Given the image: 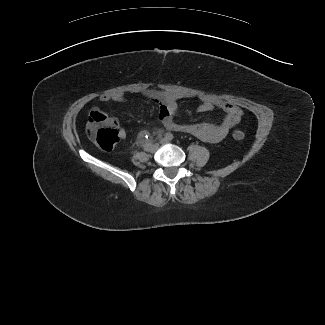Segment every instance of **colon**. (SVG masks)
I'll use <instances>...</instances> for the list:
<instances>
[{
    "label": "colon",
    "mask_w": 325,
    "mask_h": 325,
    "mask_svg": "<svg viewBox=\"0 0 325 325\" xmlns=\"http://www.w3.org/2000/svg\"><path fill=\"white\" fill-rule=\"evenodd\" d=\"M86 133L88 138L103 150H111L119 140L116 122L97 110H92L89 114ZM232 136L235 140H243L245 134L235 130Z\"/></svg>",
    "instance_id": "obj_1"
}]
</instances>
